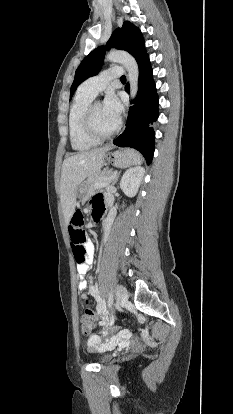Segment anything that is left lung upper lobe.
<instances>
[{
	"mask_svg": "<svg viewBox=\"0 0 233 414\" xmlns=\"http://www.w3.org/2000/svg\"><path fill=\"white\" fill-rule=\"evenodd\" d=\"M111 47L128 51L136 59L137 63H140L148 56L140 30L128 21L124 22L122 28H117L113 32L106 46L96 48L81 62L75 72V78L70 89V99L76 88L84 80L96 75L100 71L105 52Z\"/></svg>",
	"mask_w": 233,
	"mask_h": 414,
	"instance_id": "obj_1",
	"label": "left lung upper lobe"
}]
</instances>
